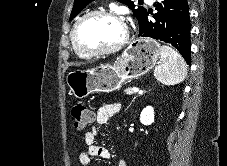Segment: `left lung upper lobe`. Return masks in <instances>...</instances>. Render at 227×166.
I'll use <instances>...</instances> for the list:
<instances>
[{
    "mask_svg": "<svg viewBox=\"0 0 227 166\" xmlns=\"http://www.w3.org/2000/svg\"><path fill=\"white\" fill-rule=\"evenodd\" d=\"M93 0H75L74 2V6L70 15V20H72L74 17L77 16V14L86 6L88 5L90 2H92ZM120 2L126 4L129 6L130 9L133 10L134 15L136 16V18L139 21V25L140 23L143 21L144 16L147 12V10L142 7L139 6L138 8H134L135 5H133V2L130 0H119Z\"/></svg>",
    "mask_w": 227,
    "mask_h": 166,
    "instance_id": "left-lung-upper-lobe-1",
    "label": "left lung upper lobe"
}]
</instances>
